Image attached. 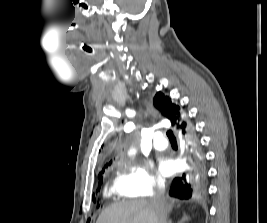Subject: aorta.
<instances>
[{
	"label": "aorta",
	"instance_id": "762f6f07",
	"mask_svg": "<svg viewBox=\"0 0 267 223\" xmlns=\"http://www.w3.org/2000/svg\"><path fill=\"white\" fill-rule=\"evenodd\" d=\"M134 153H135L134 150H130V151H129V155L134 154Z\"/></svg>",
	"mask_w": 267,
	"mask_h": 223
}]
</instances>
